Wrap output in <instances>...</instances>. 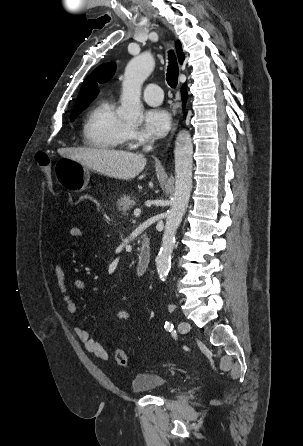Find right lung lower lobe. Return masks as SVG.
Listing matches in <instances>:
<instances>
[{
	"mask_svg": "<svg viewBox=\"0 0 303 446\" xmlns=\"http://www.w3.org/2000/svg\"><path fill=\"white\" fill-rule=\"evenodd\" d=\"M186 85H184L183 86V89H182V97H183V103L185 104V101H186Z\"/></svg>",
	"mask_w": 303,
	"mask_h": 446,
	"instance_id": "obj_1",
	"label": "right lung lower lobe"
}]
</instances>
